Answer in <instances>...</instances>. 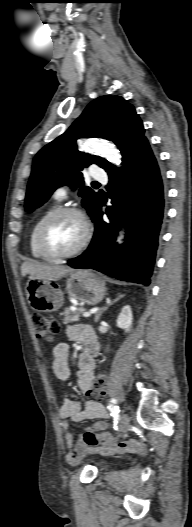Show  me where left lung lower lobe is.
<instances>
[{
	"instance_id": "obj_1",
	"label": "left lung lower lobe",
	"mask_w": 192,
	"mask_h": 527,
	"mask_svg": "<svg viewBox=\"0 0 192 527\" xmlns=\"http://www.w3.org/2000/svg\"><path fill=\"white\" fill-rule=\"evenodd\" d=\"M108 175L113 204L106 209L109 221L102 219L101 198L92 242L68 265L148 286L164 209L163 173L148 141L135 148L122 168ZM121 226L127 235L124 246L118 247L115 239Z\"/></svg>"
}]
</instances>
